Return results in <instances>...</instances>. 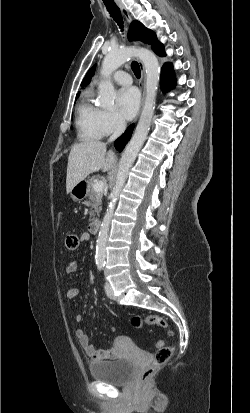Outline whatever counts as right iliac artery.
Wrapping results in <instances>:
<instances>
[{
	"instance_id": "obj_1",
	"label": "right iliac artery",
	"mask_w": 250,
	"mask_h": 413,
	"mask_svg": "<svg viewBox=\"0 0 250 413\" xmlns=\"http://www.w3.org/2000/svg\"><path fill=\"white\" fill-rule=\"evenodd\" d=\"M102 268H103V265H101V264L98 265V269H99V270H102Z\"/></svg>"
}]
</instances>
